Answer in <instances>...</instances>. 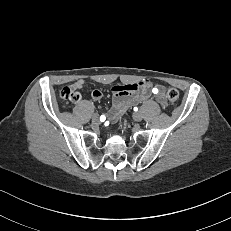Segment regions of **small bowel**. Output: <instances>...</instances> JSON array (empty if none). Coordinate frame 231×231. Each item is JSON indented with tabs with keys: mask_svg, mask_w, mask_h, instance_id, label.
<instances>
[{
	"mask_svg": "<svg viewBox=\"0 0 231 231\" xmlns=\"http://www.w3.org/2000/svg\"><path fill=\"white\" fill-rule=\"evenodd\" d=\"M85 85L84 79L76 80L72 87L76 90L82 89ZM151 87L149 81L138 83H125L120 86L113 87V104L108 112V118L111 121L117 120L130 104L144 100L147 97V89ZM159 89V88H158ZM160 94H156V100L163 106H167V100L163 90L160 89ZM92 98L96 101L102 99L103 94L100 90H93Z\"/></svg>",
	"mask_w": 231,
	"mask_h": 231,
	"instance_id": "obj_1",
	"label": "small bowel"
}]
</instances>
